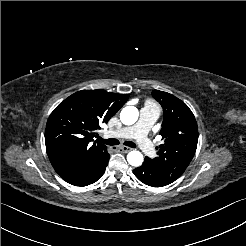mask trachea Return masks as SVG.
I'll return each instance as SVG.
<instances>
[{
    "mask_svg": "<svg viewBox=\"0 0 246 246\" xmlns=\"http://www.w3.org/2000/svg\"><path fill=\"white\" fill-rule=\"evenodd\" d=\"M98 140L106 145H118L120 142L117 139L109 138V139H103L101 137L98 138ZM124 145L135 148L136 144L133 143L132 141H125Z\"/></svg>",
    "mask_w": 246,
    "mask_h": 246,
    "instance_id": "trachea-1",
    "label": "trachea"
}]
</instances>
